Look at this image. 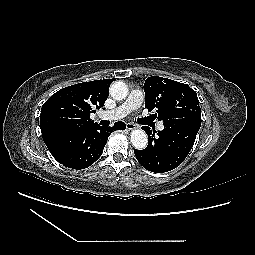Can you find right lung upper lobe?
<instances>
[{
  "mask_svg": "<svg viewBox=\"0 0 255 255\" xmlns=\"http://www.w3.org/2000/svg\"><path fill=\"white\" fill-rule=\"evenodd\" d=\"M113 81L103 79L65 87L44 103L40 127L48 149L78 130L97 125L90 114L103 107Z\"/></svg>",
  "mask_w": 255,
  "mask_h": 255,
  "instance_id": "right-lung-upper-lobe-1",
  "label": "right lung upper lobe"
}]
</instances>
